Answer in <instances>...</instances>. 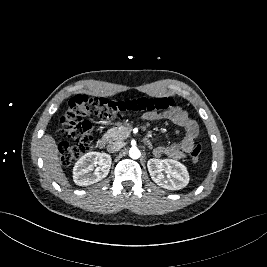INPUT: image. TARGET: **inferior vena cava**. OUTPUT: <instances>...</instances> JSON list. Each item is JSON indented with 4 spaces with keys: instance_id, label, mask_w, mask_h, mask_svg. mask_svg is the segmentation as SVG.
<instances>
[{
    "instance_id": "1",
    "label": "inferior vena cava",
    "mask_w": 267,
    "mask_h": 267,
    "mask_svg": "<svg viewBox=\"0 0 267 267\" xmlns=\"http://www.w3.org/2000/svg\"><path fill=\"white\" fill-rule=\"evenodd\" d=\"M124 146V143L121 141H117V142H110L107 146V151L108 152H117L119 151L122 147Z\"/></svg>"
}]
</instances>
